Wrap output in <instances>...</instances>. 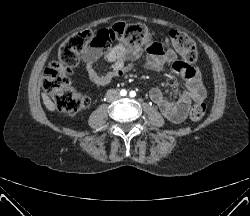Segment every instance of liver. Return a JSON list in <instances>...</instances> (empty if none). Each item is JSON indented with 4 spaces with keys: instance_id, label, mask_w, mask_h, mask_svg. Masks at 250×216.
Instances as JSON below:
<instances>
[{
    "instance_id": "1",
    "label": "liver",
    "mask_w": 250,
    "mask_h": 216,
    "mask_svg": "<svg viewBox=\"0 0 250 216\" xmlns=\"http://www.w3.org/2000/svg\"><path fill=\"white\" fill-rule=\"evenodd\" d=\"M42 99H43L45 107L49 111H54L56 109L55 104L50 100V98L47 96L46 93H42Z\"/></svg>"
}]
</instances>
